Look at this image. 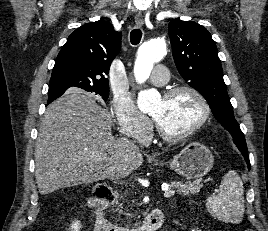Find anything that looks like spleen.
<instances>
[{"label": "spleen", "instance_id": "spleen-1", "mask_svg": "<svg viewBox=\"0 0 268 231\" xmlns=\"http://www.w3.org/2000/svg\"><path fill=\"white\" fill-rule=\"evenodd\" d=\"M208 211L219 220L239 224L244 216L243 183L235 171H229L224 177L217 194L207 199Z\"/></svg>", "mask_w": 268, "mask_h": 231}]
</instances>
